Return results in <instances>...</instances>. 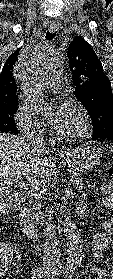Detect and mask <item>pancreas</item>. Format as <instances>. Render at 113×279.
Listing matches in <instances>:
<instances>
[{
    "mask_svg": "<svg viewBox=\"0 0 113 279\" xmlns=\"http://www.w3.org/2000/svg\"><path fill=\"white\" fill-rule=\"evenodd\" d=\"M70 178H71V181L74 182L75 184V187L77 190L81 191L83 189V182H84V179L81 177V175L79 173H76V172H72L70 173ZM41 200H42V197H36L35 200H33V214H34V217L37 221H39L40 219H42V213L40 212V208H41Z\"/></svg>",
    "mask_w": 113,
    "mask_h": 279,
    "instance_id": "obj_1",
    "label": "pancreas"
}]
</instances>
